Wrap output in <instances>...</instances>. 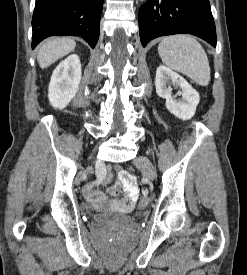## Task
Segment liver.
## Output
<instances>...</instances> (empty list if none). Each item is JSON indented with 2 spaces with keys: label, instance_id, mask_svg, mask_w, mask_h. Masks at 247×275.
<instances>
[{
  "label": "liver",
  "instance_id": "6515ba94",
  "mask_svg": "<svg viewBox=\"0 0 247 275\" xmlns=\"http://www.w3.org/2000/svg\"><path fill=\"white\" fill-rule=\"evenodd\" d=\"M76 42L67 37L47 40L40 45L37 61L42 69L50 66L75 49Z\"/></svg>",
  "mask_w": 247,
  "mask_h": 275
}]
</instances>
